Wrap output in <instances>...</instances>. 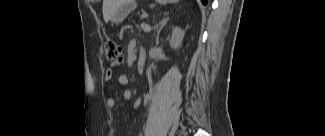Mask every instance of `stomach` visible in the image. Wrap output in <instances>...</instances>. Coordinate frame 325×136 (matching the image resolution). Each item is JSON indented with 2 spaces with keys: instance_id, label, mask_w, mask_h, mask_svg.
<instances>
[{
  "instance_id": "0dacf381",
  "label": "stomach",
  "mask_w": 325,
  "mask_h": 136,
  "mask_svg": "<svg viewBox=\"0 0 325 136\" xmlns=\"http://www.w3.org/2000/svg\"><path fill=\"white\" fill-rule=\"evenodd\" d=\"M161 4H166L170 2H175V0H156ZM138 1H124V3L115 11L111 16V21L113 23H121L127 15H131V12H135L138 8Z\"/></svg>"
}]
</instances>
